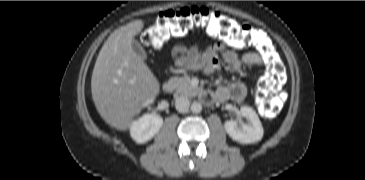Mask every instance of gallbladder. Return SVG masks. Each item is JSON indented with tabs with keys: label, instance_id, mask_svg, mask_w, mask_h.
<instances>
[{
	"label": "gallbladder",
	"instance_id": "gallbladder-1",
	"mask_svg": "<svg viewBox=\"0 0 365 180\" xmlns=\"http://www.w3.org/2000/svg\"><path fill=\"white\" fill-rule=\"evenodd\" d=\"M131 46L132 50L139 58H141L142 60L147 59V53L137 40H133Z\"/></svg>",
	"mask_w": 365,
	"mask_h": 180
}]
</instances>
